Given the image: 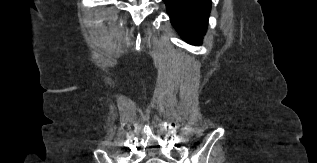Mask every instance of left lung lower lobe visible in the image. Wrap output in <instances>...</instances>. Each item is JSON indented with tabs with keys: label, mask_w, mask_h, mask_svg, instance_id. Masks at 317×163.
Returning <instances> with one entry per match:
<instances>
[{
	"label": "left lung lower lobe",
	"mask_w": 317,
	"mask_h": 163,
	"mask_svg": "<svg viewBox=\"0 0 317 163\" xmlns=\"http://www.w3.org/2000/svg\"><path fill=\"white\" fill-rule=\"evenodd\" d=\"M171 22L188 43L200 45L208 25L211 0H163Z\"/></svg>",
	"instance_id": "obj_1"
}]
</instances>
